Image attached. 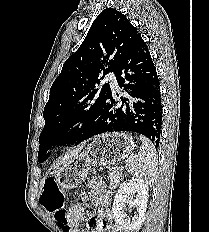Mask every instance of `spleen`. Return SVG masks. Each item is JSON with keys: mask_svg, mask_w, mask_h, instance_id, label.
<instances>
[{"mask_svg": "<svg viewBox=\"0 0 209 232\" xmlns=\"http://www.w3.org/2000/svg\"><path fill=\"white\" fill-rule=\"evenodd\" d=\"M142 145L138 154L126 160L125 167L133 176L146 184L154 181L157 171V154L153 144L144 136H140Z\"/></svg>", "mask_w": 209, "mask_h": 232, "instance_id": "1", "label": "spleen"}]
</instances>
